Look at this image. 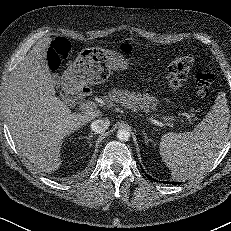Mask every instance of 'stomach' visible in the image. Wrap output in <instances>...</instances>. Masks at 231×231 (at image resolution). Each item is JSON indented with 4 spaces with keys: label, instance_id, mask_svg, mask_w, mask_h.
Here are the masks:
<instances>
[{
    "label": "stomach",
    "instance_id": "0dacf381",
    "mask_svg": "<svg viewBox=\"0 0 231 231\" xmlns=\"http://www.w3.org/2000/svg\"><path fill=\"white\" fill-rule=\"evenodd\" d=\"M129 64L130 62L117 52L88 48L78 54L62 78L67 87L99 84L108 78L111 70H125Z\"/></svg>",
    "mask_w": 231,
    "mask_h": 231
}]
</instances>
